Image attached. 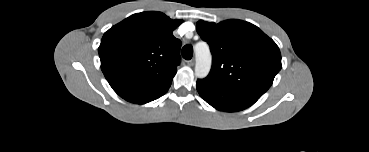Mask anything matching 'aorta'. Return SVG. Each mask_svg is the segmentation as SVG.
<instances>
[{
	"instance_id": "aorta-1",
	"label": "aorta",
	"mask_w": 369,
	"mask_h": 152,
	"mask_svg": "<svg viewBox=\"0 0 369 152\" xmlns=\"http://www.w3.org/2000/svg\"><path fill=\"white\" fill-rule=\"evenodd\" d=\"M196 65L195 75L197 78H205L211 68V53L207 43L199 42L194 48Z\"/></svg>"
}]
</instances>
